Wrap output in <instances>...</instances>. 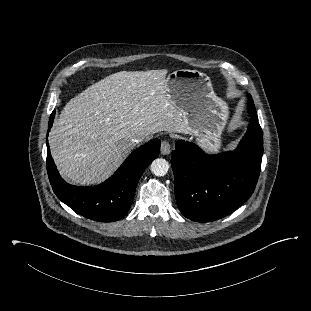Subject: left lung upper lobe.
Here are the masks:
<instances>
[{
	"label": "left lung upper lobe",
	"mask_w": 311,
	"mask_h": 311,
	"mask_svg": "<svg viewBox=\"0 0 311 311\" xmlns=\"http://www.w3.org/2000/svg\"><path fill=\"white\" fill-rule=\"evenodd\" d=\"M248 112L250 115H256L257 116V113H256V110H255V105H254V102L251 98V95L248 94Z\"/></svg>",
	"instance_id": "left-lung-upper-lobe-1"
}]
</instances>
